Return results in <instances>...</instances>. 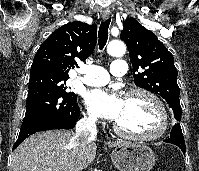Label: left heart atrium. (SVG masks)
<instances>
[{
	"instance_id": "1",
	"label": "left heart atrium",
	"mask_w": 199,
	"mask_h": 171,
	"mask_svg": "<svg viewBox=\"0 0 199 171\" xmlns=\"http://www.w3.org/2000/svg\"><path fill=\"white\" fill-rule=\"evenodd\" d=\"M84 100L92 113L114 121L119 117L124 101L116 92H110L102 88L87 92Z\"/></svg>"
}]
</instances>
